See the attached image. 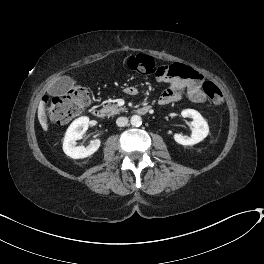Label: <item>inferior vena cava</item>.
Masks as SVG:
<instances>
[{
    "mask_svg": "<svg viewBox=\"0 0 264 264\" xmlns=\"http://www.w3.org/2000/svg\"><path fill=\"white\" fill-rule=\"evenodd\" d=\"M116 124L119 127H124L128 124V118L127 117H119L116 120Z\"/></svg>",
    "mask_w": 264,
    "mask_h": 264,
    "instance_id": "inferior-vena-cava-1",
    "label": "inferior vena cava"
}]
</instances>
